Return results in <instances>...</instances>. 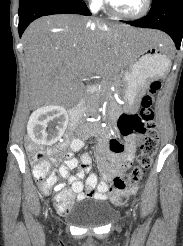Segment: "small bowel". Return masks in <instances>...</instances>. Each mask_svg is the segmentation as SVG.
Returning <instances> with one entry per match:
<instances>
[{
  "mask_svg": "<svg viewBox=\"0 0 183 246\" xmlns=\"http://www.w3.org/2000/svg\"><path fill=\"white\" fill-rule=\"evenodd\" d=\"M84 135L88 136L89 133L84 131ZM124 144L126 151L122 155H117V152H110V141L107 137L99 139L96 143V160L103 180H100L98 173L92 172L91 157L88 153H83L80 159L73 157V154L84 147V142L80 138L72 139L68 144H62L58 148H49L47 153L54 164H59L60 152H65L66 161L59 166V173L63 178H66L71 185V191L65 189L64 184H58L54 190L59 192V196L69 199L71 206L61 214H67L73 203V195L76 201H82L86 198H94L103 200L109 189V182L117 176H121L131 165L135 157V149L137 142L141 139L140 134H132L124 136ZM73 169H78L77 173H71ZM88 177L83 183V178L86 174ZM55 183V177L50 187ZM49 188L43 189L45 193Z\"/></svg>",
  "mask_w": 183,
  "mask_h": 246,
  "instance_id": "small-bowel-1",
  "label": "small bowel"
}]
</instances>
